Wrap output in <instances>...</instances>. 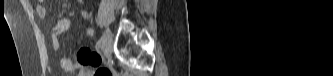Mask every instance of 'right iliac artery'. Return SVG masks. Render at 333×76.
Segmentation results:
<instances>
[{
	"label": "right iliac artery",
	"mask_w": 333,
	"mask_h": 76,
	"mask_svg": "<svg viewBox=\"0 0 333 76\" xmlns=\"http://www.w3.org/2000/svg\"><path fill=\"white\" fill-rule=\"evenodd\" d=\"M102 46H103V39L101 38V39L98 40L96 47L97 48H102Z\"/></svg>",
	"instance_id": "1"
}]
</instances>
